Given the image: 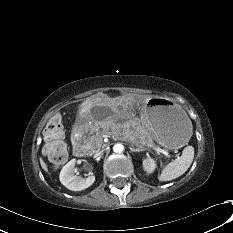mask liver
Instances as JSON below:
<instances>
[{"instance_id":"6515ba94","label":"liver","mask_w":233,"mask_h":233,"mask_svg":"<svg viewBox=\"0 0 233 233\" xmlns=\"http://www.w3.org/2000/svg\"><path fill=\"white\" fill-rule=\"evenodd\" d=\"M40 164H41L42 169H44L45 171H48L47 165H46V163L43 161L42 158H40Z\"/></svg>"}]
</instances>
